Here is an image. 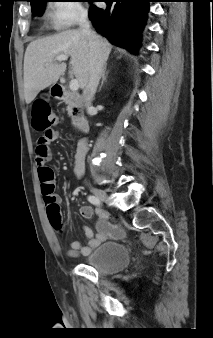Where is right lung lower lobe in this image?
<instances>
[{
    "label": "right lung lower lobe",
    "mask_w": 213,
    "mask_h": 338,
    "mask_svg": "<svg viewBox=\"0 0 213 338\" xmlns=\"http://www.w3.org/2000/svg\"><path fill=\"white\" fill-rule=\"evenodd\" d=\"M91 2L100 0H90ZM107 7L91 5L89 16L96 31L112 44L137 53L140 32L146 23L149 2L153 0H101Z\"/></svg>",
    "instance_id": "right-lung-lower-lobe-1"
}]
</instances>
